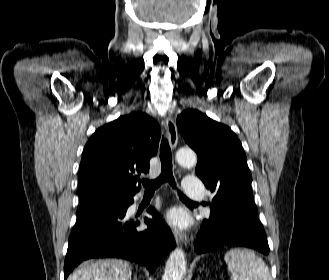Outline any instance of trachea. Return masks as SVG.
Instances as JSON below:
<instances>
[{"label":"trachea","instance_id":"3493384b","mask_svg":"<svg viewBox=\"0 0 329 280\" xmlns=\"http://www.w3.org/2000/svg\"><path fill=\"white\" fill-rule=\"evenodd\" d=\"M160 160H161V174L158 178L155 180H148L144 179L142 180V184L145 188V191H155L157 188H159L163 183L169 182V184L175 189L176 183L175 179L173 177V171H172V155H171V149L169 146V143L167 139H163L160 146ZM178 194L181 199L190 202L195 203L191 200H189L186 196L183 195L178 190Z\"/></svg>","mask_w":329,"mask_h":280}]
</instances>
